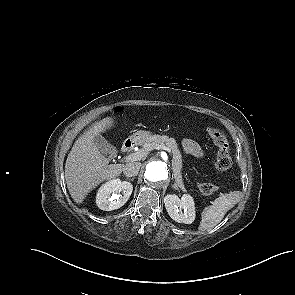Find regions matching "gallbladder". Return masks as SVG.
Here are the masks:
<instances>
[{
	"label": "gallbladder",
	"mask_w": 295,
	"mask_h": 295,
	"mask_svg": "<svg viewBox=\"0 0 295 295\" xmlns=\"http://www.w3.org/2000/svg\"><path fill=\"white\" fill-rule=\"evenodd\" d=\"M94 142L101 153L108 155L110 158L116 156L115 147L108 143L107 140L103 138L101 135L95 136Z\"/></svg>",
	"instance_id": "bac80fb5"
}]
</instances>
